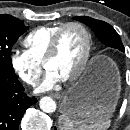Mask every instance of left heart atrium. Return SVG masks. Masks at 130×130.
<instances>
[{
    "label": "left heart atrium",
    "instance_id": "1",
    "mask_svg": "<svg viewBox=\"0 0 130 130\" xmlns=\"http://www.w3.org/2000/svg\"><path fill=\"white\" fill-rule=\"evenodd\" d=\"M61 77L52 70H47L44 79L38 87L39 92L48 91L53 89L59 82Z\"/></svg>",
    "mask_w": 130,
    "mask_h": 130
}]
</instances>
